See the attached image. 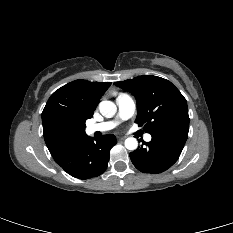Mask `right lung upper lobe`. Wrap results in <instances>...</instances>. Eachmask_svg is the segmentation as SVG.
<instances>
[{"label": "right lung upper lobe", "instance_id": "cb5924a9", "mask_svg": "<svg viewBox=\"0 0 233 233\" xmlns=\"http://www.w3.org/2000/svg\"><path fill=\"white\" fill-rule=\"evenodd\" d=\"M110 82L75 80L56 90L42 112L43 134L54 160L84 140L85 122Z\"/></svg>", "mask_w": 233, "mask_h": 233}]
</instances>
